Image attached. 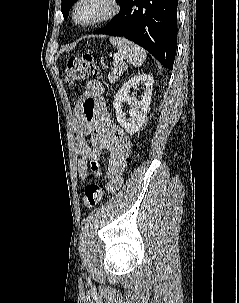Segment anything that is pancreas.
Listing matches in <instances>:
<instances>
[{"mask_svg": "<svg viewBox=\"0 0 239 303\" xmlns=\"http://www.w3.org/2000/svg\"><path fill=\"white\" fill-rule=\"evenodd\" d=\"M127 66L124 63H120L112 69V72L108 75L109 82L111 84L116 83L121 75L124 73L126 70Z\"/></svg>", "mask_w": 239, "mask_h": 303, "instance_id": "obj_1", "label": "pancreas"}]
</instances>
